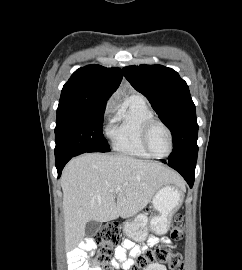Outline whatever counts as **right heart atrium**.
<instances>
[{"label":"right heart atrium","mask_w":242,"mask_h":270,"mask_svg":"<svg viewBox=\"0 0 242 270\" xmlns=\"http://www.w3.org/2000/svg\"><path fill=\"white\" fill-rule=\"evenodd\" d=\"M111 110H112V106L110 105V106L108 107V112H111Z\"/></svg>","instance_id":"right-heart-atrium-1"}]
</instances>
